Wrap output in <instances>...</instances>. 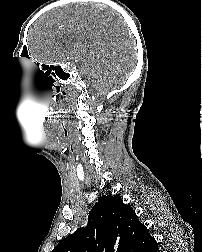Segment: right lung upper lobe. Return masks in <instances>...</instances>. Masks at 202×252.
Returning <instances> with one entry per match:
<instances>
[{
	"label": "right lung upper lobe",
	"instance_id": "cb5924a9",
	"mask_svg": "<svg viewBox=\"0 0 202 252\" xmlns=\"http://www.w3.org/2000/svg\"><path fill=\"white\" fill-rule=\"evenodd\" d=\"M157 242L119 196L103 195L86 228L63 239L52 252H148Z\"/></svg>",
	"mask_w": 202,
	"mask_h": 252
}]
</instances>
